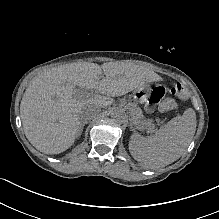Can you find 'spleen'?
I'll return each mask as SVG.
<instances>
[{
  "label": "spleen",
  "instance_id": "obj_1",
  "mask_svg": "<svg viewBox=\"0 0 219 219\" xmlns=\"http://www.w3.org/2000/svg\"><path fill=\"white\" fill-rule=\"evenodd\" d=\"M196 114L192 108L171 119L154 136L134 133L129 141L132 157L148 168H161L180 158L196 131Z\"/></svg>",
  "mask_w": 219,
  "mask_h": 219
}]
</instances>
